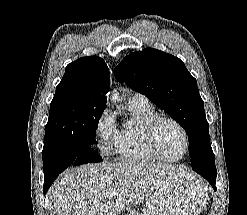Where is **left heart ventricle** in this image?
I'll list each match as a JSON object with an SVG mask.
<instances>
[{"label": "left heart ventricle", "instance_id": "obj_1", "mask_svg": "<svg viewBox=\"0 0 247 215\" xmlns=\"http://www.w3.org/2000/svg\"><path fill=\"white\" fill-rule=\"evenodd\" d=\"M161 152L168 157H179L185 149V140L180 129L172 123H164L158 132Z\"/></svg>", "mask_w": 247, "mask_h": 215}]
</instances>
